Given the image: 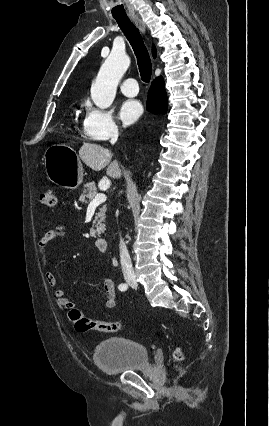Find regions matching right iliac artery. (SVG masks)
<instances>
[{
  "label": "right iliac artery",
  "instance_id": "obj_1",
  "mask_svg": "<svg viewBox=\"0 0 269 426\" xmlns=\"http://www.w3.org/2000/svg\"><path fill=\"white\" fill-rule=\"evenodd\" d=\"M118 288L121 291H125L128 288V285L127 284H121Z\"/></svg>",
  "mask_w": 269,
  "mask_h": 426
}]
</instances>
